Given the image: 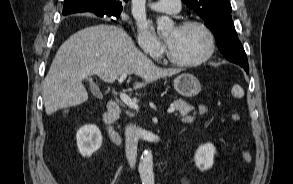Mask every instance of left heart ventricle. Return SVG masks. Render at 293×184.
<instances>
[{
	"mask_svg": "<svg viewBox=\"0 0 293 184\" xmlns=\"http://www.w3.org/2000/svg\"><path fill=\"white\" fill-rule=\"evenodd\" d=\"M169 49L180 60H195L208 48V39L199 28H174L168 35Z\"/></svg>",
	"mask_w": 293,
	"mask_h": 184,
	"instance_id": "obj_1",
	"label": "left heart ventricle"
}]
</instances>
